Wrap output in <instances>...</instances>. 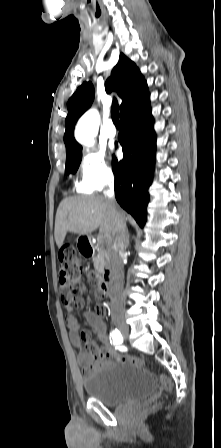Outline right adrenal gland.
<instances>
[{"label":"right adrenal gland","instance_id":"obj_1","mask_svg":"<svg viewBox=\"0 0 221 448\" xmlns=\"http://www.w3.org/2000/svg\"><path fill=\"white\" fill-rule=\"evenodd\" d=\"M127 245H129V234H127Z\"/></svg>","mask_w":221,"mask_h":448}]
</instances>
